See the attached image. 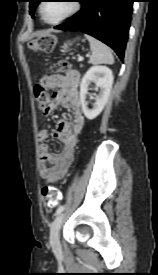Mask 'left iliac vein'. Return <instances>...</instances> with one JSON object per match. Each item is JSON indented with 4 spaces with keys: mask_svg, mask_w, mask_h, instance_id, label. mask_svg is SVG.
I'll return each mask as SVG.
<instances>
[{
    "mask_svg": "<svg viewBox=\"0 0 158 275\" xmlns=\"http://www.w3.org/2000/svg\"><path fill=\"white\" fill-rule=\"evenodd\" d=\"M65 214L59 213L50 226V245L53 251L60 249L59 230L64 220Z\"/></svg>",
    "mask_w": 158,
    "mask_h": 275,
    "instance_id": "obj_1",
    "label": "left iliac vein"
}]
</instances>
